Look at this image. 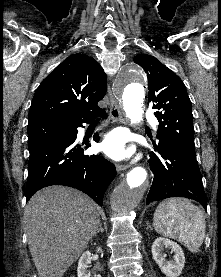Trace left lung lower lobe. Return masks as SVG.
<instances>
[{
	"instance_id": "obj_1",
	"label": "left lung lower lobe",
	"mask_w": 221,
	"mask_h": 277,
	"mask_svg": "<svg viewBox=\"0 0 221 277\" xmlns=\"http://www.w3.org/2000/svg\"><path fill=\"white\" fill-rule=\"evenodd\" d=\"M153 145L157 154H150L154 178L146 204L169 197H186L200 202L207 210L196 157L168 142H153Z\"/></svg>"
}]
</instances>
